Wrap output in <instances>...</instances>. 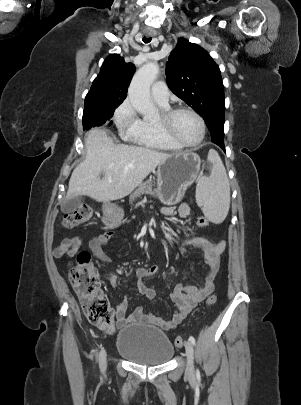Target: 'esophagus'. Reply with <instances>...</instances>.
Here are the masks:
<instances>
[{"label": "esophagus", "instance_id": "34e87169", "mask_svg": "<svg viewBox=\"0 0 301 405\" xmlns=\"http://www.w3.org/2000/svg\"><path fill=\"white\" fill-rule=\"evenodd\" d=\"M148 35H156V33L153 31V32H150Z\"/></svg>", "mask_w": 301, "mask_h": 405}]
</instances>
